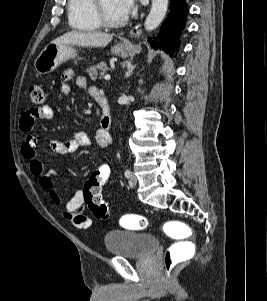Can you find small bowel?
<instances>
[{"mask_svg":"<svg viewBox=\"0 0 267 301\" xmlns=\"http://www.w3.org/2000/svg\"><path fill=\"white\" fill-rule=\"evenodd\" d=\"M74 78V71L66 69L61 74V84L59 87L60 93L67 96L71 93L69 82ZM76 85L88 92L92 97L98 92V89L89 85L87 79L83 76L76 78ZM53 118V110L51 107L44 105L41 107H33L22 113L19 121L20 130L25 133V139L21 146L22 156L29 161L30 171L37 178L39 185L48 192L52 202L60 204L61 198L55 188L53 175L54 172L44 171L42 162L38 158L37 145L38 139L33 132L35 121L51 120ZM96 145L103 149L111 142V136L108 132L104 131L101 127L96 133ZM91 143L88 135L85 132H77L67 142L59 140H51L50 148L57 154L67 155L76 152L78 149L89 146ZM85 207V201L82 189H77L74 195L67 201L62 209L64 218L71 221L74 227L78 229H87L91 226V218L82 214Z\"/></svg>","mask_w":267,"mask_h":301,"instance_id":"small-bowel-1","label":"small bowel"}]
</instances>
